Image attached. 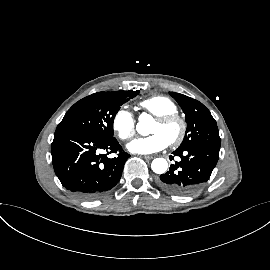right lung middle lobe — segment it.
<instances>
[{
	"mask_svg": "<svg viewBox=\"0 0 270 270\" xmlns=\"http://www.w3.org/2000/svg\"><path fill=\"white\" fill-rule=\"evenodd\" d=\"M138 94L139 90H129L89 95L67 111L56 132L78 131L106 141L113 140V121L120 106Z\"/></svg>",
	"mask_w": 270,
	"mask_h": 270,
	"instance_id": "obj_1",
	"label": "right lung middle lobe"
}]
</instances>
